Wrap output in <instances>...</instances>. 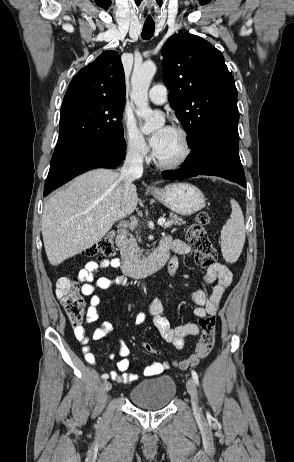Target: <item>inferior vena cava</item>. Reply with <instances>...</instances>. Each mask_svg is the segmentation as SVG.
Masks as SVG:
<instances>
[{
    "instance_id": "602c4592",
    "label": "inferior vena cava",
    "mask_w": 294,
    "mask_h": 462,
    "mask_svg": "<svg viewBox=\"0 0 294 462\" xmlns=\"http://www.w3.org/2000/svg\"><path fill=\"white\" fill-rule=\"evenodd\" d=\"M142 174L143 156L141 155V147L136 144L129 145L126 154V160L121 169V179L124 182V200H126L128 197L129 190L133 181L141 177ZM122 207H124V201Z\"/></svg>"
}]
</instances>
